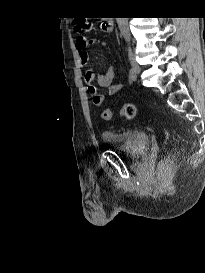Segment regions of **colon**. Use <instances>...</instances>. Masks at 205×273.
<instances>
[{"label": "colon", "instance_id": "obj_1", "mask_svg": "<svg viewBox=\"0 0 205 273\" xmlns=\"http://www.w3.org/2000/svg\"><path fill=\"white\" fill-rule=\"evenodd\" d=\"M92 28L91 22L77 18L74 21V30L78 34L90 31ZM103 118L110 120L113 116L112 110L107 108L103 110ZM120 115L125 119H133L136 116V106L133 103H124L121 107Z\"/></svg>", "mask_w": 205, "mask_h": 273}]
</instances>
